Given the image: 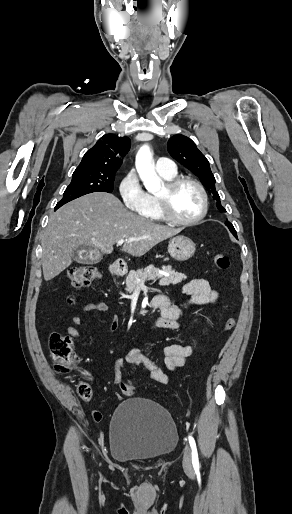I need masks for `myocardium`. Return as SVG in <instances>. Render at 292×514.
I'll list each match as a JSON object with an SVG mask.
<instances>
[{"label": "myocardium", "instance_id": "f54148a6", "mask_svg": "<svg viewBox=\"0 0 292 514\" xmlns=\"http://www.w3.org/2000/svg\"><path fill=\"white\" fill-rule=\"evenodd\" d=\"M186 184L192 185L198 190L199 195H200L201 205H200L199 213L194 218H192L190 220H180L171 213L169 203H168V195L171 192H173L175 189H177L178 187L186 185ZM155 199H156L158 208H159L164 220H166L169 223L179 225V226H191L193 224H196L201 219H203V217L205 216L206 211H207V194H206L204 187L199 182H197L193 179H190V178H186V177L176 178L172 181L165 183L164 193L162 195H155Z\"/></svg>", "mask_w": 292, "mask_h": 514}]
</instances>
